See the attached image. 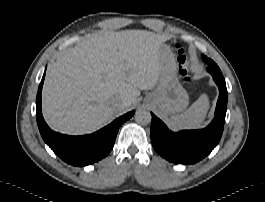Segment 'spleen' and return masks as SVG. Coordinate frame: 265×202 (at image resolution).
<instances>
[{
    "instance_id": "spleen-1",
    "label": "spleen",
    "mask_w": 265,
    "mask_h": 202,
    "mask_svg": "<svg viewBox=\"0 0 265 202\" xmlns=\"http://www.w3.org/2000/svg\"><path fill=\"white\" fill-rule=\"evenodd\" d=\"M208 108L209 99L206 94H203L185 112L172 116L170 121L177 128H199L206 117Z\"/></svg>"
}]
</instances>
